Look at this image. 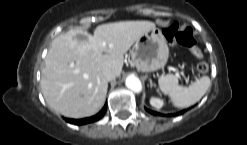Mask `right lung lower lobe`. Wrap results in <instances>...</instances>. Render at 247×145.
Segmentation results:
<instances>
[{"label":"right lung lower lobe","instance_id":"obj_1","mask_svg":"<svg viewBox=\"0 0 247 145\" xmlns=\"http://www.w3.org/2000/svg\"><path fill=\"white\" fill-rule=\"evenodd\" d=\"M106 108H107V104H105V106L103 107V109L98 114H96L95 116L90 117V118H84V119H79V120L67 119L66 118V121L69 122V123H72V124H76V125H82V124L91 123V122L97 121L100 118H102L103 115L106 112Z\"/></svg>","mask_w":247,"mask_h":145}]
</instances>
